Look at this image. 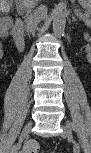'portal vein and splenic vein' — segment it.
<instances>
[{
    "label": "portal vein and splenic vein",
    "mask_w": 91,
    "mask_h": 153,
    "mask_svg": "<svg viewBox=\"0 0 91 153\" xmlns=\"http://www.w3.org/2000/svg\"><path fill=\"white\" fill-rule=\"evenodd\" d=\"M77 15H78V16H80V15H81V13H80V12H77ZM79 18H80V17H79Z\"/></svg>",
    "instance_id": "1"
}]
</instances>
